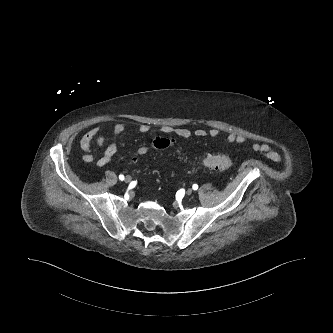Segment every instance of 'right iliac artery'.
<instances>
[{"label": "right iliac artery", "mask_w": 333, "mask_h": 333, "mask_svg": "<svg viewBox=\"0 0 333 333\" xmlns=\"http://www.w3.org/2000/svg\"><path fill=\"white\" fill-rule=\"evenodd\" d=\"M119 179L122 181L124 180V175H119Z\"/></svg>", "instance_id": "right-iliac-artery-1"}]
</instances>
